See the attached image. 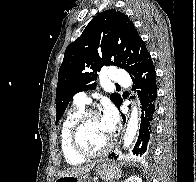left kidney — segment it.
<instances>
[{
  "label": "left kidney",
  "mask_w": 196,
  "mask_h": 182,
  "mask_svg": "<svg viewBox=\"0 0 196 182\" xmlns=\"http://www.w3.org/2000/svg\"><path fill=\"white\" fill-rule=\"evenodd\" d=\"M124 182H142V179L138 176H131L126 179Z\"/></svg>",
  "instance_id": "1"
}]
</instances>
